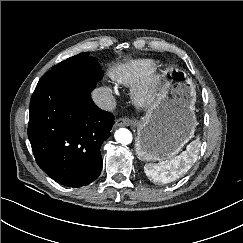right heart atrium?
I'll return each instance as SVG.
<instances>
[{"label": "right heart atrium", "mask_w": 243, "mask_h": 243, "mask_svg": "<svg viewBox=\"0 0 243 243\" xmlns=\"http://www.w3.org/2000/svg\"><path fill=\"white\" fill-rule=\"evenodd\" d=\"M104 92L107 97V104H111L113 95L115 94V89L113 87L107 85L104 87Z\"/></svg>", "instance_id": "right-heart-atrium-1"}]
</instances>
